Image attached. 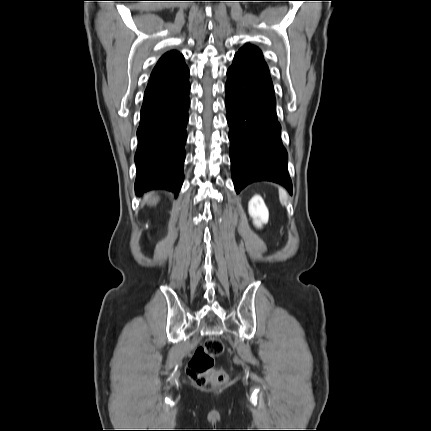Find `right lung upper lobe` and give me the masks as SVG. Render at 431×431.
<instances>
[{"instance_id":"1","label":"right lung upper lobe","mask_w":431,"mask_h":431,"mask_svg":"<svg viewBox=\"0 0 431 431\" xmlns=\"http://www.w3.org/2000/svg\"><path fill=\"white\" fill-rule=\"evenodd\" d=\"M189 75L182 55L177 51L165 53L153 69L144 99L158 95Z\"/></svg>"}]
</instances>
